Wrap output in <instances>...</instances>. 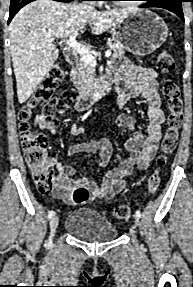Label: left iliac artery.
Segmentation results:
<instances>
[{"label":"left iliac artery","mask_w":193,"mask_h":287,"mask_svg":"<svg viewBox=\"0 0 193 287\" xmlns=\"http://www.w3.org/2000/svg\"><path fill=\"white\" fill-rule=\"evenodd\" d=\"M135 215H136L138 218H140V217H141V212H140L139 210H136Z\"/></svg>","instance_id":"1"}]
</instances>
